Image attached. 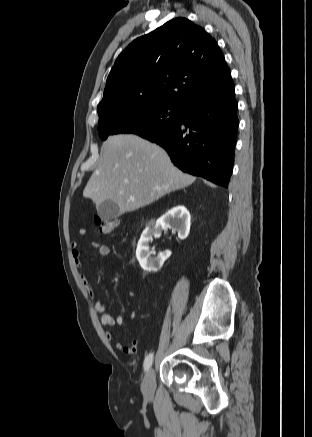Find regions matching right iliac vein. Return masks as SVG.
Wrapping results in <instances>:
<instances>
[{
	"label": "right iliac vein",
	"mask_w": 312,
	"mask_h": 437,
	"mask_svg": "<svg viewBox=\"0 0 312 437\" xmlns=\"http://www.w3.org/2000/svg\"><path fill=\"white\" fill-rule=\"evenodd\" d=\"M155 388V372L154 369H150L142 383V392L147 399H151L154 395Z\"/></svg>",
	"instance_id": "1"
}]
</instances>
